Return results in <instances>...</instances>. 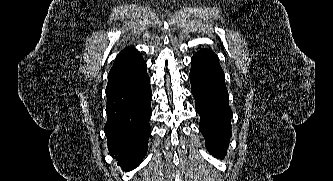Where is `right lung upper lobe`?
I'll list each match as a JSON object with an SVG mask.
<instances>
[{"mask_svg":"<svg viewBox=\"0 0 333 181\" xmlns=\"http://www.w3.org/2000/svg\"><path fill=\"white\" fill-rule=\"evenodd\" d=\"M147 71L141 54L134 48H126L115 59L108 74L106 93L140 78Z\"/></svg>","mask_w":333,"mask_h":181,"instance_id":"1","label":"right lung upper lobe"}]
</instances>
